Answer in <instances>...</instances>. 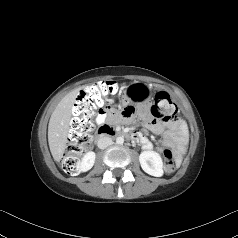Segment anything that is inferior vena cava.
I'll list each match as a JSON object with an SVG mask.
<instances>
[{"label":"inferior vena cava","instance_id":"1","mask_svg":"<svg viewBox=\"0 0 238 238\" xmlns=\"http://www.w3.org/2000/svg\"><path fill=\"white\" fill-rule=\"evenodd\" d=\"M111 144H112V139L110 137H107V136L101 137L97 142V146L100 149H105L108 146H110Z\"/></svg>","mask_w":238,"mask_h":238}]
</instances>
